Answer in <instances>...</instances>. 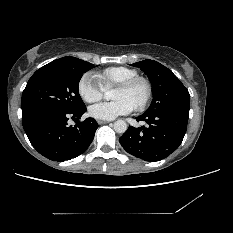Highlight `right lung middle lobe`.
<instances>
[{
	"instance_id": "obj_1",
	"label": "right lung middle lobe",
	"mask_w": 233,
	"mask_h": 233,
	"mask_svg": "<svg viewBox=\"0 0 233 233\" xmlns=\"http://www.w3.org/2000/svg\"><path fill=\"white\" fill-rule=\"evenodd\" d=\"M93 67L94 64L81 59L63 57L38 69L22 94V119L45 110L74 112L84 108L79 81Z\"/></svg>"
}]
</instances>
